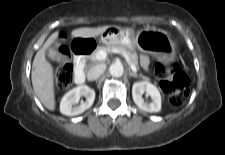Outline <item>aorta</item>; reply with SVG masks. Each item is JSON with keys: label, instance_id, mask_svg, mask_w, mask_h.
<instances>
[{"label": "aorta", "instance_id": "obj_1", "mask_svg": "<svg viewBox=\"0 0 225 155\" xmlns=\"http://www.w3.org/2000/svg\"><path fill=\"white\" fill-rule=\"evenodd\" d=\"M109 72L113 77H121L124 74V68L121 63L111 64L109 67Z\"/></svg>", "mask_w": 225, "mask_h": 155}]
</instances>
